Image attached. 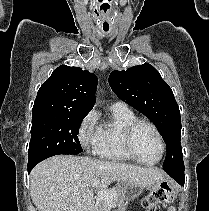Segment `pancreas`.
<instances>
[{"mask_svg":"<svg viewBox=\"0 0 209 211\" xmlns=\"http://www.w3.org/2000/svg\"><path fill=\"white\" fill-rule=\"evenodd\" d=\"M111 191L116 192V195L113 198V202L117 206L118 211H125L127 204L125 202L121 190L119 188H112ZM106 207L107 201L101 198H97L96 211H106Z\"/></svg>","mask_w":209,"mask_h":211,"instance_id":"obj_1","label":"pancreas"}]
</instances>
